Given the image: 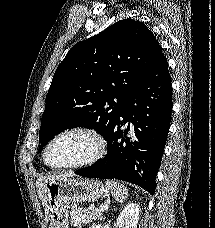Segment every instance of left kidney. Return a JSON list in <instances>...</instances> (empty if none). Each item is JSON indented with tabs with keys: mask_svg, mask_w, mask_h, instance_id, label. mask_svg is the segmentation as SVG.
<instances>
[{
	"mask_svg": "<svg viewBox=\"0 0 215 228\" xmlns=\"http://www.w3.org/2000/svg\"><path fill=\"white\" fill-rule=\"evenodd\" d=\"M140 204H128L117 218V228H137Z\"/></svg>",
	"mask_w": 215,
	"mask_h": 228,
	"instance_id": "obj_1",
	"label": "left kidney"
}]
</instances>
